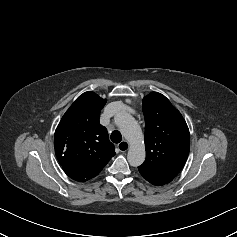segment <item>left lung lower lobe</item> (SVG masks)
<instances>
[{"mask_svg":"<svg viewBox=\"0 0 237 237\" xmlns=\"http://www.w3.org/2000/svg\"><path fill=\"white\" fill-rule=\"evenodd\" d=\"M140 174L153 185H164L172 181V179L158 176L150 171L139 169Z\"/></svg>","mask_w":237,"mask_h":237,"instance_id":"1","label":"left lung lower lobe"}]
</instances>
